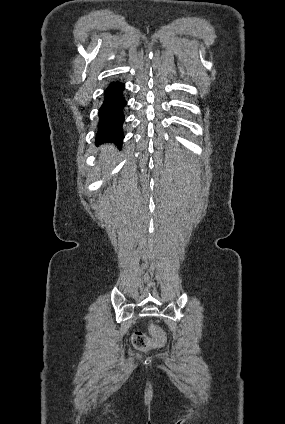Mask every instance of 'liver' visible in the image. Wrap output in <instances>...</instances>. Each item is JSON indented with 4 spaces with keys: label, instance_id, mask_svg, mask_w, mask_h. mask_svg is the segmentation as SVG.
Here are the masks:
<instances>
[{
    "label": "liver",
    "instance_id": "liver-1",
    "mask_svg": "<svg viewBox=\"0 0 285 424\" xmlns=\"http://www.w3.org/2000/svg\"><path fill=\"white\" fill-rule=\"evenodd\" d=\"M115 153V149L113 145H104L102 148V155L101 157L104 156H113Z\"/></svg>",
    "mask_w": 285,
    "mask_h": 424
}]
</instances>
